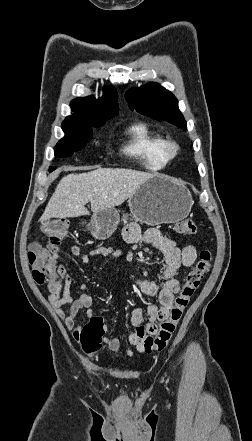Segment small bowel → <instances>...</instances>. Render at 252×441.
<instances>
[{
	"instance_id": "obj_1",
	"label": "small bowel",
	"mask_w": 252,
	"mask_h": 441,
	"mask_svg": "<svg viewBox=\"0 0 252 441\" xmlns=\"http://www.w3.org/2000/svg\"><path fill=\"white\" fill-rule=\"evenodd\" d=\"M124 238L130 244L144 243L153 245L160 250L165 259V267L162 273L164 282L157 284L148 280L135 279L140 290L149 296H155L158 299V305H149L147 307L148 322L145 329L149 334H155L158 329V323L164 321L169 314V310L174 302V296L180 290V281L176 278V274L181 267H190L196 260L197 251L191 244H179L172 235L162 232L157 228H149L141 231L136 226H129L124 231ZM70 252L81 259L83 263H88L90 255H99L117 258L121 255L120 251L107 247H101L94 250L90 255L85 254L76 245L70 246ZM59 257V251L53 253V259ZM71 276L67 268L60 264L55 265V274L47 284L48 300L55 309L57 315L64 323L67 330L73 337L79 341L82 326L76 324V316L82 309L86 311L88 318L94 316L93 306L96 302L88 294V286L80 285L81 294L74 299L70 295ZM68 309V312H66ZM143 321V311L140 308H134L131 313V323L138 327ZM128 341L138 351L142 352V344L135 332L128 333ZM103 342L112 352L120 350V341L117 338L103 337ZM132 356L131 350L127 351Z\"/></svg>"
}]
</instances>
